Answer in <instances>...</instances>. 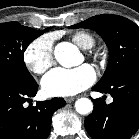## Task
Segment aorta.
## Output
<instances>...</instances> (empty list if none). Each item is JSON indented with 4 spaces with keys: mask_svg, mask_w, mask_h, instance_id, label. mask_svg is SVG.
Returning <instances> with one entry per match:
<instances>
[{
    "mask_svg": "<svg viewBox=\"0 0 139 139\" xmlns=\"http://www.w3.org/2000/svg\"><path fill=\"white\" fill-rule=\"evenodd\" d=\"M54 54L60 65L64 67L76 65L78 50L73 44L68 42L59 43L55 48ZM75 109L79 114L86 115L92 112L93 103L88 98H80L75 103Z\"/></svg>",
    "mask_w": 139,
    "mask_h": 139,
    "instance_id": "762f6f07",
    "label": "aorta"
}]
</instances>
